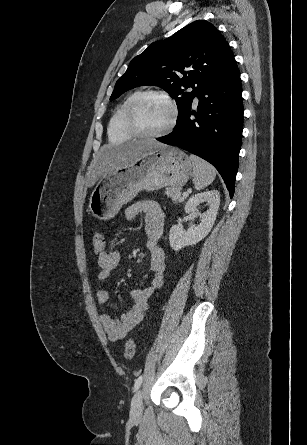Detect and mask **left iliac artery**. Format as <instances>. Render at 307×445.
<instances>
[{"instance_id":"left-iliac-artery-1","label":"left iliac artery","mask_w":307,"mask_h":445,"mask_svg":"<svg viewBox=\"0 0 307 445\" xmlns=\"http://www.w3.org/2000/svg\"><path fill=\"white\" fill-rule=\"evenodd\" d=\"M143 380V376H139L136 380H135V384H134V390H138V388L140 387L141 383Z\"/></svg>"}]
</instances>
